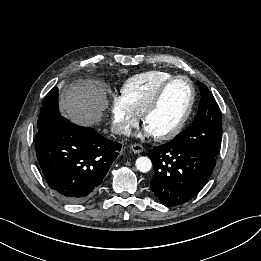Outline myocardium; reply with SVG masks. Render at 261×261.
<instances>
[{
	"label": "myocardium",
	"instance_id": "f54148a6",
	"mask_svg": "<svg viewBox=\"0 0 261 261\" xmlns=\"http://www.w3.org/2000/svg\"><path fill=\"white\" fill-rule=\"evenodd\" d=\"M178 80H186L188 82V84L190 86V92H191L190 101H189L188 107H187L183 117L181 118L180 122L178 123V125L166 133L155 135L156 139H158V140H169V139H172L175 136H177L183 130V128L187 124V122L192 114L194 104H195V99H196V90H195L194 83L189 77H187L185 75H176V76H173L172 78H170L168 81H166L159 88V90L157 91V93L155 94V96L153 97L151 102L148 104V106L142 113V122L144 125L146 124V121L149 118V116L152 115L159 108L167 89L174 82H176Z\"/></svg>",
	"mask_w": 261,
	"mask_h": 261
}]
</instances>
